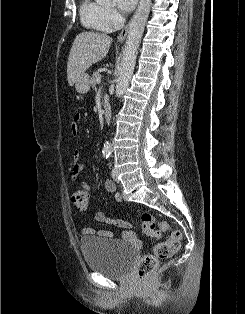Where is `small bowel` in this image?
<instances>
[{"label":"small bowel","instance_id":"small-bowel-1","mask_svg":"<svg viewBox=\"0 0 245 314\" xmlns=\"http://www.w3.org/2000/svg\"><path fill=\"white\" fill-rule=\"evenodd\" d=\"M81 119V116L79 114H76L74 116L73 123L71 125V131L74 135L78 133V123ZM80 172H81V153L79 151H74L72 155V163H71V181L75 184L80 185V187L88 193L91 191V185L86 182L82 181L80 179ZM104 188L107 192L113 193L114 198L116 201L121 202L122 201V196L120 193L117 192L116 185L114 182L110 180H106L104 182ZM93 219L96 222L99 223H106L110 225H115L117 227L123 228V232L120 235V239L126 243L138 246L140 245L141 241L140 239L136 236L135 232L131 229V224L123 219H112L108 218L103 212H96L93 215ZM83 234L84 235H94L97 234L98 236L101 237H108V238H113L114 235L111 231L108 230H99L95 231L91 227H85L83 229Z\"/></svg>","mask_w":245,"mask_h":314}]
</instances>
